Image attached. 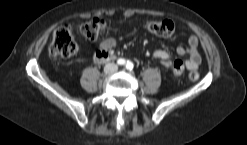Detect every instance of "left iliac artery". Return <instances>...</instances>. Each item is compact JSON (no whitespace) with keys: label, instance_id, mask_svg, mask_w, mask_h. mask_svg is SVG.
Returning a JSON list of instances; mask_svg holds the SVG:
<instances>
[{"label":"left iliac artery","instance_id":"1","mask_svg":"<svg viewBox=\"0 0 247 145\" xmlns=\"http://www.w3.org/2000/svg\"><path fill=\"white\" fill-rule=\"evenodd\" d=\"M126 68L131 71L133 69V63L130 61H127Z\"/></svg>","mask_w":247,"mask_h":145}]
</instances>
